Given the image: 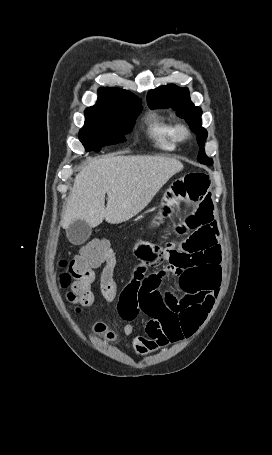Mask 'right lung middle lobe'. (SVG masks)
<instances>
[{
	"label": "right lung middle lobe",
	"instance_id": "dd1d6c3e",
	"mask_svg": "<svg viewBox=\"0 0 272 455\" xmlns=\"http://www.w3.org/2000/svg\"><path fill=\"white\" fill-rule=\"evenodd\" d=\"M141 110V101L114 111L85 110V125L79 131V139L87 151L97 152L103 146L125 142L124 135L132 131Z\"/></svg>",
	"mask_w": 272,
	"mask_h": 455
}]
</instances>
